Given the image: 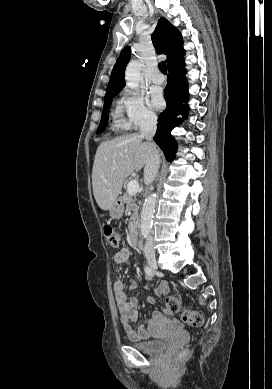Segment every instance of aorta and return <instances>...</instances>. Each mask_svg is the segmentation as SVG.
Segmentation results:
<instances>
[{
  "label": "aorta",
  "instance_id": "obj_1",
  "mask_svg": "<svg viewBox=\"0 0 272 389\" xmlns=\"http://www.w3.org/2000/svg\"><path fill=\"white\" fill-rule=\"evenodd\" d=\"M142 64L138 60H131L126 67L125 81L129 88H138L141 82ZM156 205V194L151 193L143 203L140 221V232L143 238H147L151 232L153 214Z\"/></svg>",
  "mask_w": 272,
  "mask_h": 389
}]
</instances>
